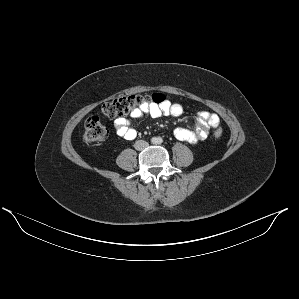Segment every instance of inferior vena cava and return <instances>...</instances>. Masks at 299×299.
I'll use <instances>...</instances> for the list:
<instances>
[{
  "instance_id": "1",
  "label": "inferior vena cava",
  "mask_w": 299,
  "mask_h": 299,
  "mask_svg": "<svg viewBox=\"0 0 299 299\" xmlns=\"http://www.w3.org/2000/svg\"><path fill=\"white\" fill-rule=\"evenodd\" d=\"M149 146L148 142L144 140H138L135 142L134 147L136 150L141 151Z\"/></svg>"
}]
</instances>
